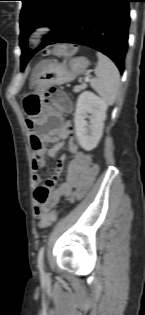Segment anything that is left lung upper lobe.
Listing matches in <instances>:
<instances>
[{
	"instance_id": "5c2ea615",
	"label": "left lung upper lobe",
	"mask_w": 145,
	"mask_h": 315,
	"mask_svg": "<svg viewBox=\"0 0 145 315\" xmlns=\"http://www.w3.org/2000/svg\"><path fill=\"white\" fill-rule=\"evenodd\" d=\"M20 40L40 26H49L52 31L43 40L47 42L62 27L75 0H21ZM44 42V43H45ZM31 57L21 55L23 71Z\"/></svg>"
}]
</instances>
